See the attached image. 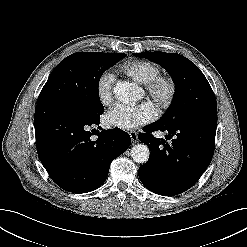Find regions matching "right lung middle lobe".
<instances>
[{
	"instance_id": "right-lung-middle-lobe-1",
	"label": "right lung middle lobe",
	"mask_w": 247,
	"mask_h": 247,
	"mask_svg": "<svg viewBox=\"0 0 247 247\" xmlns=\"http://www.w3.org/2000/svg\"><path fill=\"white\" fill-rule=\"evenodd\" d=\"M124 56L125 53L77 52L66 57L50 74L37 103L55 102L83 117H99L104 110L99 99V78Z\"/></svg>"
}]
</instances>
